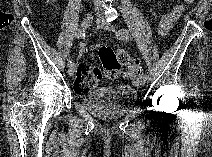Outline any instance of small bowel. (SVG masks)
<instances>
[{"instance_id": "obj_1", "label": "small bowel", "mask_w": 212, "mask_h": 157, "mask_svg": "<svg viewBox=\"0 0 212 157\" xmlns=\"http://www.w3.org/2000/svg\"><path fill=\"white\" fill-rule=\"evenodd\" d=\"M182 11L181 7H177L175 8L173 11H171L170 13L166 14L165 16H163V18L160 21V32L162 35H165L173 26L175 20L178 18V16L180 15ZM92 48L87 47L85 45H81L80 47V53L81 54H85L88 53L89 51H91ZM79 66L81 67H87L89 66L88 63L86 62H82ZM136 76H133L131 79L136 80Z\"/></svg>"}]
</instances>
